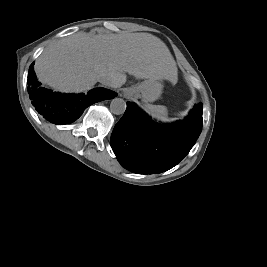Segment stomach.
Here are the masks:
<instances>
[{
    "label": "stomach",
    "mask_w": 267,
    "mask_h": 267,
    "mask_svg": "<svg viewBox=\"0 0 267 267\" xmlns=\"http://www.w3.org/2000/svg\"><path fill=\"white\" fill-rule=\"evenodd\" d=\"M130 90L134 96L141 97L143 102H154L161 96L163 84L159 80L147 79Z\"/></svg>",
    "instance_id": "0dacf381"
}]
</instances>
